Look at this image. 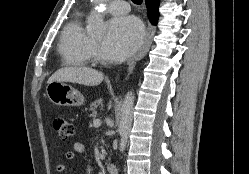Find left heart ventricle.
Masks as SVG:
<instances>
[{
  "label": "left heart ventricle",
  "mask_w": 249,
  "mask_h": 174,
  "mask_svg": "<svg viewBox=\"0 0 249 174\" xmlns=\"http://www.w3.org/2000/svg\"><path fill=\"white\" fill-rule=\"evenodd\" d=\"M96 43L99 44V45H101L102 44V39H97Z\"/></svg>",
  "instance_id": "1"
}]
</instances>
